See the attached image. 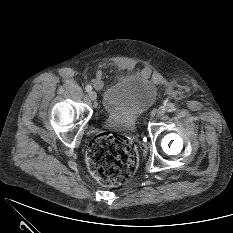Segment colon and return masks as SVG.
<instances>
[{"label":"colon","instance_id":"colon-1","mask_svg":"<svg viewBox=\"0 0 233 233\" xmlns=\"http://www.w3.org/2000/svg\"><path fill=\"white\" fill-rule=\"evenodd\" d=\"M87 163L100 183L118 186L132 177L138 165V157L127 136L103 132L91 140L87 150Z\"/></svg>","mask_w":233,"mask_h":233}]
</instances>
